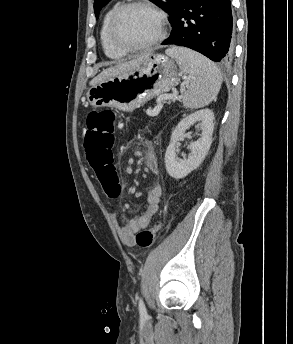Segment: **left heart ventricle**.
<instances>
[{"mask_svg": "<svg viewBox=\"0 0 293 344\" xmlns=\"http://www.w3.org/2000/svg\"><path fill=\"white\" fill-rule=\"evenodd\" d=\"M159 30L157 17L150 11L135 7L126 10L118 23L120 39L130 45H139L154 38Z\"/></svg>", "mask_w": 293, "mask_h": 344, "instance_id": "1", "label": "left heart ventricle"}]
</instances>
